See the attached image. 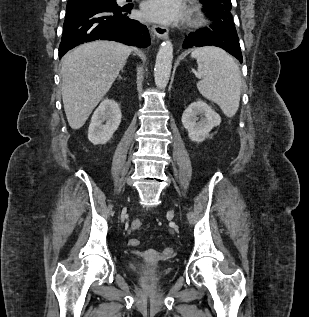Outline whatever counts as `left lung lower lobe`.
<instances>
[{"mask_svg": "<svg viewBox=\"0 0 309 317\" xmlns=\"http://www.w3.org/2000/svg\"><path fill=\"white\" fill-rule=\"evenodd\" d=\"M217 46L236 57L240 63L242 53L239 44V38L236 32L230 30H217L215 26L212 29L198 30L196 33H190L185 37L183 48Z\"/></svg>", "mask_w": 309, "mask_h": 317, "instance_id": "obj_1", "label": "left lung lower lobe"}]
</instances>
